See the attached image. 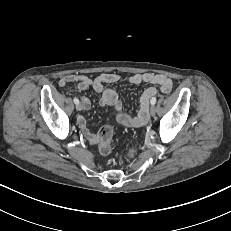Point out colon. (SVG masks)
<instances>
[{"label": "colon", "instance_id": "1", "mask_svg": "<svg viewBox=\"0 0 231 231\" xmlns=\"http://www.w3.org/2000/svg\"><path fill=\"white\" fill-rule=\"evenodd\" d=\"M113 136V130L109 126H104L100 129L99 131V150L102 154H107L109 153L111 149V140ZM134 154V150H129L127 152L128 156H132Z\"/></svg>", "mask_w": 231, "mask_h": 231}]
</instances>
